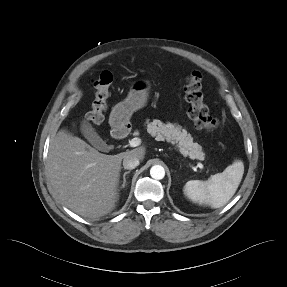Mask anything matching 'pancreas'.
Here are the masks:
<instances>
[{
	"instance_id": "1",
	"label": "pancreas",
	"mask_w": 287,
	"mask_h": 287,
	"mask_svg": "<svg viewBox=\"0 0 287 287\" xmlns=\"http://www.w3.org/2000/svg\"><path fill=\"white\" fill-rule=\"evenodd\" d=\"M146 124L147 132L152 137H156V140H166L172 144H177L184 156H189L191 159L204 160L205 153L202 150V146L193 142L191 135L181 125L170 122L163 123L157 119H154L152 122L147 120Z\"/></svg>"
}]
</instances>
